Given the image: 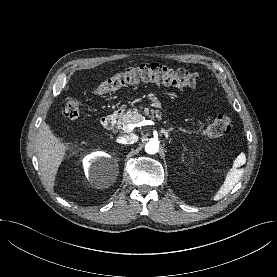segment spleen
<instances>
[{
	"label": "spleen",
	"mask_w": 277,
	"mask_h": 277,
	"mask_svg": "<svg viewBox=\"0 0 277 277\" xmlns=\"http://www.w3.org/2000/svg\"><path fill=\"white\" fill-rule=\"evenodd\" d=\"M242 174L243 169H237L235 166L231 168L226 175L224 183L213 197V200L218 201L226 196L241 179Z\"/></svg>",
	"instance_id": "3e777b00"
}]
</instances>
